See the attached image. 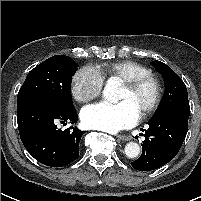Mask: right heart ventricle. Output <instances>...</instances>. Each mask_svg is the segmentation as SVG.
Returning a JSON list of instances; mask_svg holds the SVG:
<instances>
[{"instance_id": "obj_1", "label": "right heart ventricle", "mask_w": 201, "mask_h": 201, "mask_svg": "<svg viewBox=\"0 0 201 201\" xmlns=\"http://www.w3.org/2000/svg\"><path fill=\"white\" fill-rule=\"evenodd\" d=\"M99 72L107 80L125 81L134 77L150 74V70L135 61L123 60L104 64Z\"/></svg>"}]
</instances>
